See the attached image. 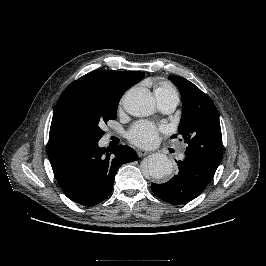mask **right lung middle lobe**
<instances>
[{"label": "right lung middle lobe", "instance_id": "obj_1", "mask_svg": "<svg viewBox=\"0 0 266 266\" xmlns=\"http://www.w3.org/2000/svg\"><path fill=\"white\" fill-rule=\"evenodd\" d=\"M120 98L109 95L69 94L58 100L49 137H71L96 142L104 135V123L117 116Z\"/></svg>", "mask_w": 266, "mask_h": 266}]
</instances>
